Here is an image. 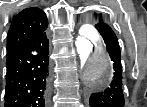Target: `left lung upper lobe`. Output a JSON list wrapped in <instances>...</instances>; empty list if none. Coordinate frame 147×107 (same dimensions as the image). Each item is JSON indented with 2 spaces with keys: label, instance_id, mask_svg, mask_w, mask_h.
Here are the masks:
<instances>
[{
  "label": "left lung upper lobe",
  "instance_id": "1",
  "mask_svg": "<svg viewBox=\"0 0 147 107\" xmlns=\"http://www.w3.org/2000/svg\"><path fill=\"white\" fill-rule=\"evenodd\" d=\"M93 20L95 21V22H98L97 24H96V26H98V25H102V24H106L105 23V21H104V18H103V16H102V14H98V13H94V15H93ZM95 26V27H96Z\"/></svg>",
  "mask_w": 147,
  "mask_h": 107
}]
</instances>
